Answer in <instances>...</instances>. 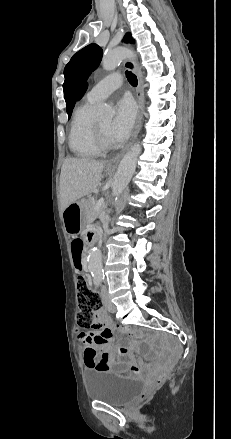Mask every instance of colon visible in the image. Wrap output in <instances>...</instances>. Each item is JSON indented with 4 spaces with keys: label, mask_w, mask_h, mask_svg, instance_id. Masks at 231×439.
Wrapping results in <instances>:
<instances>
[{
    "label": "colon",
    "mask_w": 231,
    "mask_h": 439,
    "mask_svg": "<svg viewBox=\"0 0 231 439\" xmlns=\"http://www.w3.org/2000/svg\"><path fill=\"white\" fill-rule=\"evenodd\" d=\"M76 288L78 293V302H79V324L84 328H91L94 321L97 311L100 309V299L97 293L90 287L87 278L84 275H79L76 279ZM119 331L125 334H138L144 335L138 329L132 328L130 326H122L119 328ZM87 364L89 366H94L95 369H105L107 364L105 362H99L94 365L92 358L90 355L86 358ZM134 371L137 370L136 367L133 368ZM167 372L161 373L156 382H161L167 378Z\"/></svg>",
    "instance_id": "1"
}]
</instances>
